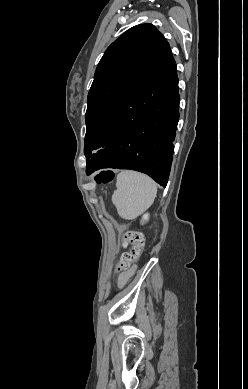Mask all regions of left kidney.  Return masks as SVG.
Masks as SVG:
<instances>
[{
    "instance_id": "1",
    "label": "left kidney",
    "mask_w": 248,
    "mask_h": 389,
    "mask_svg": "<svg viewBox=\"0 0 248 389\" xmlns=\"http://www.w3.org/2000/svg\"><path fill=\"white\" fill-rule=\"evenodd\" d=\"M149 220V214H144L142 216V220H141V224L143 225L144 223H146L147 221Z\"/></svg>"
}]
</instances>
